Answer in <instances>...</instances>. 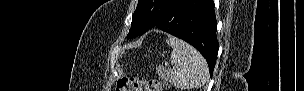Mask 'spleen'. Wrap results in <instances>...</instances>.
<instances>
[{
	"mask_svg": "<svg viewBox=\"0 0 304 91\" xmlns=\"http://www.w3.org/2000/svg\"><path fill=\"white\" fill-rule=\"evenodd\" d=\"M167 44L173 48L170 61L174 72L168 76L177 88L191 89L205 84L208 77V66L203 56L192 46L178 38L170 36Z\"/></svg>",
	"mask_w": 304,
	"mask_h": 91,
	"instance_id": "3e777b00",
	"label": "spleen"
}]
</instances>
